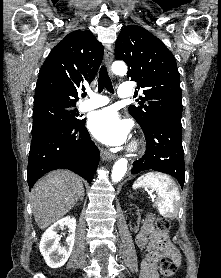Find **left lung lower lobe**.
<instances>
[{"instance_id": "0a47b994", "label": "left lung lower lobe", "mask_w": 221, "mask_h": 278, "mask_svg": "<svg viewBox=\"0 0 221 278\" xmlns=\"http://www.w3.org/2000/svg\"><path fill=\"white\" fill-rule=\"evenodd\" d=\"M146 139L145 155L133 163V174L155 170L174 176L184 185V151L181 121L161 118L143 130Z\"/></svg>"}]
</instances>
